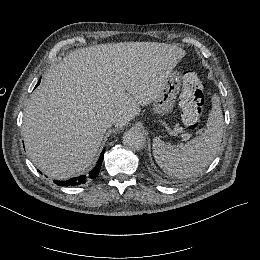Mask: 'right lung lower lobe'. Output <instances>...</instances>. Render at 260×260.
Segmentation results:
<instances>
[{
  "label": "right lung lower lobe",
  "mask_w": 260,
  "mask_h": 260,
  "mask_svg": "<svg viewBox=\"0 0 260 260\" xmlns=\"http://www.w3.org/2000/svg\"><path fill=\"white\" fill-rule=\"evenodd\" d=\"M103 156H104V150L102 151L95 168L92 171H90L88 173V175H81V176L74 177V178H71V179L66 180V181L54 180V183L57 184L58 186H67V187L82 186L83 184H85L90 179H94L99 174L101 164H102V160H103Z\"/></svg>",
  "instance_id": "right-lung-lower-lobe-1"
}]
</instances>
